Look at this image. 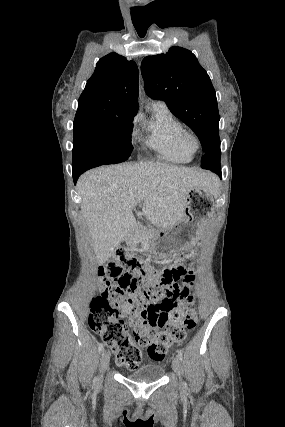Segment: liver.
Segmentation results:
<instances>
[{
  "label": "liver",
  "instance_id": "liver-1",
  "mask_svg": "<svg viewBox=\"0 0 285 427\" xmlns=\"http://www.w3.org/2000/svg\"><path fill=\"white\" fill-rule=\"evenodd\" d=\"M195 187L214 194L218 182L209 172L160 162L102 166L85 172L77 191L98 263L108 260L132 232L133 208L139 202H143V216L168 230L182 219L186 196Z\"/></svg>",
  "mask_w": 285,
  "mask_h": 427
}]
</instances>
